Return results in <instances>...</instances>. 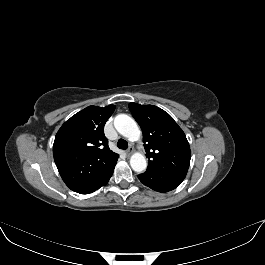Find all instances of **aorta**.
<instances>
[{
  "label": "aorta",
  "mask_w": 265,
  "mask_h": 265,
  "mask_svg": "<svg viewBox=\"0 0 265 265\" xmlns=\"http://www.w3.org/2000/svg\"><path fill=\"white\" fill-rule=\"evenodd\" d=\"M114 126L116 130L124 137L131 141H137L140 138V129L130 116L126 114H119L114 119ZM130 165L135 172H143L147 168V161L143 154L135 152L130 158Z\"/></svg>",
  "instance_id": "aorta-1"
}]
</instances>
